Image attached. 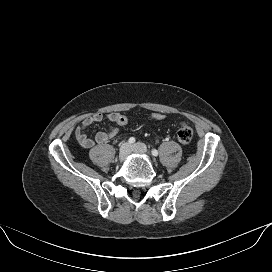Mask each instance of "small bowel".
Returning <instances> with one entry per match:
<instances>
[{
  "instance_id": "c3829d8e",
  "label": "small bowel",
  "mask_w": 272,
  "mask_h": 272,
  "mask_svg": "<svg viewBox=\"0 0 272 272\" xmlns=\"http://www.w3.org/2000/svg\"><path fill=\"white\" fill-rule=\"evenodd\" d=\"M117 112H111L106 115L110 125L105 131L98 132L93 138L87 135V129L94 123L101 122L105 116L101 112H95L85 117L75 129V138L78 143L86 149L95 145H101L113 139L119 132L120 126L116 124Z\"/></svg>"
}]
</instances>
